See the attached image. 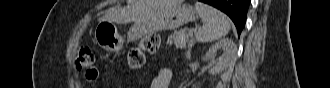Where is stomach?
<instances>
[{
  "label": "stomach",
  "mask_w": 330,
  "mask_h": 88,
  "mask_svg": "<svg viewBox=\"0 0 330 88\" xmlns=\"http://www.w3.org/2000/svg\"><path fill=\"white\" fill-rule=\"evenodd\" d=\"M197 10L178 0H161L156 9L146 18L136 21L127 33V41H136L141 37L157 31L175 30L197 18ZM96 43L109 51H119L123 39L117 26L109 21H100L94 31Z\"/></svg>",
  "instance_id": "stomach-1"
}]
</instances>
